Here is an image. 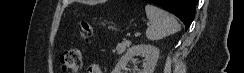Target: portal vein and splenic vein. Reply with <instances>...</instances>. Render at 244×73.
<instances>
[{
  "mask_svg": "<svg viewBox=\"0 0 244 73\" xmlns=\"http://www.w3.org/2000/svg\"><path fill=\"white\" fill-rule=\"evenodd\" d=\"M140 34H141V33L137 32V33H135L134 36H135V37H138V36H140Z\"/></svg>",
  "mask_w": 244,
  "mask_h": 73,
  "instance_id": "obj_1",
  "label": "portal vein and splenic vein"
}]
</instances>
